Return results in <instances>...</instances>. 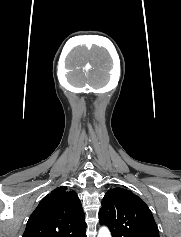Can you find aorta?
<instances>
[{
  "mask_svg": "<svg viewBox=\"0 0 181 237\" xmlns=\"http://www.w3.org/2000/svg\"><path fill=\"white\" fill-rule=\"evenodd\" d=\"M98 237H111V233L106 227H102L98 232Z\"/></svg>",
  "mask_w": 181,
  "mask_h": 237,
  "instance_id": "obj_1",
  "label": "aorta"
}]
</instances>
